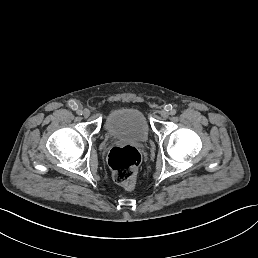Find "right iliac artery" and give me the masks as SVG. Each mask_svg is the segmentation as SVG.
<instances>
[{"mask_svg":"<svg viewBox=\"0 0 258 258\" xmlns=\"http://www.w3.org/2000/svg\"><path fill=\"white\" fill-rule=\"evenodd\" d=\"M77 114H78V115H82L83 112H82L81 110H78V111H77Z\"/></svg>","mask_w":258,"mask_h":258,"instance_id":"obj_1","label":"right iliac artery"}]
</instances>
